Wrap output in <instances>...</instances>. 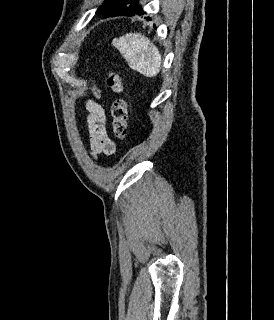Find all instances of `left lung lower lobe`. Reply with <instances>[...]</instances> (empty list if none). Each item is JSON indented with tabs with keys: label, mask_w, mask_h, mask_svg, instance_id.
<instances>
[{
	"label": "left lung lower lobe",
	"mask_w": 274,
	"mask_h": 320,
	"mask_svg": "<svg viewBox=\"0 0 274 320\" xmlns=\"http://www.w3.org/2000/svg\"><path fill=\"white\" fill-rule=\"evenodd\" d=\"M145 12L143 9L138 5L137 1L129 8L125 9L122 12H112L110 14H105L104 17H110V16H133V15H144ZM147 20H151L149 17H145Z\"/></svg>",
	"instance_id": "1"
}]
</instances>
